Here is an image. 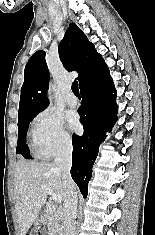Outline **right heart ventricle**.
<instances>
[{"label": "right heart ventricle", "instance_id": "1", "mask_svg": "<svg viewBox=\"0 0 155 235\" xmlns=\"http://www.w3.org/2000/svg\"><path fill=\"white\" fill-rule=\"evenodd\" d=\"M34 150H35L36 154L42 155L35 147H34Z\"/></svg>", "mask_w": 155, "mask_h": 235}]
</instances>
